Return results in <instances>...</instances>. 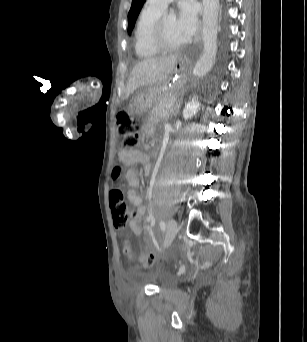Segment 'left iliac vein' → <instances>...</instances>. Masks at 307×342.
Here are the masks:
<instances>
[{
	"label": "left iliac vein",
	"mask_w": 307,
	"mask_h": 342,
	"mask_svg": "<svg viewBox=\"0 0 307 342\" xmlns=\"http://www.w3.org/2000/svg\"><path fill=\"white\" fill-rule=\"evenodd\" d=\"M179 231L178 224L175 219H170L167 223L166 237L163 243V247L167 248L175 239Z\"/></svg>",
	"instance_id": "1"
}]
</instances>
